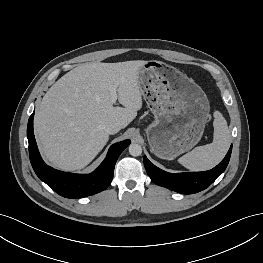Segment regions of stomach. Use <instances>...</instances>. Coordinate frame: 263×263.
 I'll use <instances>...</instances> for the list:
<instances>
[{
    "label": "stomach",
    "instance_id": "stomach-1",
    "mask_svg": "<svg viewBox=\"0 0 263 263\" xmlns=\"http://www.w3.org/2000/svg\"><path fill=\"white\" fill-rule=\"evenodd\" d=\"M138 82L155 117L146 129L151 151L171 160L192 149L203 135L210 111L201 87L177 68L156 60L140 67Z\"/></svg>",
    "mask_w": 263,
    "mask_h": 263
}]
</instances>
